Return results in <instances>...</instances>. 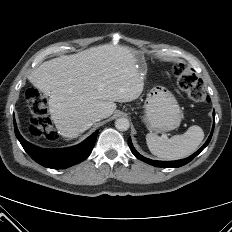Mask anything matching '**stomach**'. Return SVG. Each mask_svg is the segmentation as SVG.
Instances as JSON below:
<instances>
[{
  "label": "stomach",
  "mask_w": 232,
  "mask_h": 232,
  "mask_svg": "<svg viewBox=\"0 0 232 232\" xmlns=\"http://www.w3.org/2000/svg\"><path fill=\"white\" fill-rule=\"evenodd\" d=\"M143 63V59L140 58ZM143 121L156 132L170 131L180 125L183 114L174 95L167 89L153 88L145 100Z\"/></svg>",
  "instance_id": "0dacf381"
}]
</instances>
